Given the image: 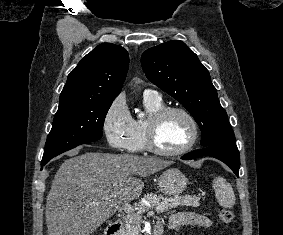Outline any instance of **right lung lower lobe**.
I'll use <instances>...</instances> for the list:
<instances>
[{"mask_svg":"<svg viewBox=\"0 0 283 235\" xmlns=\"http://www.w3.org/2000/svg\"><path fill=\"white\" fill-rule=\"evenodd\" d=\"M49 162V161H48ZM48 162H41V166L43 167Z\"/></svg>","mask_w":283,"mask_h":235,"instance_id":"right-lung-lower-lobe-1","label":"right lung lower lobe"}]
</instances>
